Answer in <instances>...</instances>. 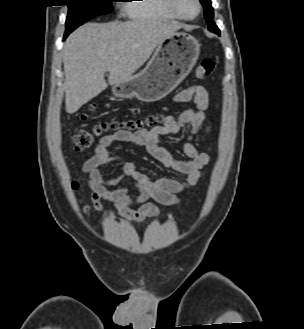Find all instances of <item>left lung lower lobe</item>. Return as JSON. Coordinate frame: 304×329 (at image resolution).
<instances>
[{"instance_id":"left-lung-lower-lobe-1","label":"left lung lower lobe","mask_w":304,"mask_h":329,"mask_svg":"<svg viewBox=\"0 0 304 329\" xmlns=\"http://www.w3.org/2000/svg\"><path fill=\"white\" fill-rule=\"evenodd\" d=\"M209 29V28H208ZM211 32H214L218 35H220V30L218 29V27L215 25V23L213 22V28L209 29Z\"/></svg>"}]
</instances>
